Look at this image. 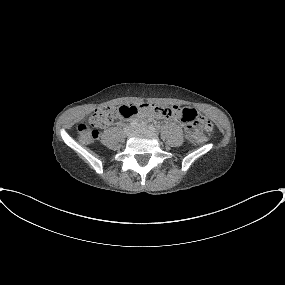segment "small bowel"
Masks as SVG:
<instances>
[{"instance_id":"obj_1","label":"small bowel","mask_w":285,"mask_h":285,"mask_svg":"<svg viewBox=\"0 0 285 285\" xmlns=\"http://www.w3.org/2000/svg\"><path fill=\"white\" fill-rule=\"evenodd\" d=\"M174 119H175V120H178L179 118H178V117H174Z\"/></svg>"}]
</instances>
